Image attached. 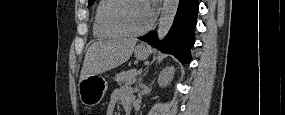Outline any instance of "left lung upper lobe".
Instances as JSON below:
<instances>
[{
  "label": "left lung upper lobe",
  "instance_id": "obj_1",
  "mask_svg": "<svg viewBox=\"0 0 285 115\" xmlns=\"http://www.w3.org/2000/svg\"><path fill=\"white\" fill-rule=\"evenodd\" d=\"M93 1H94V0H89V1H88V4H91V3H93Z\"/></svg>",
  "mask_w": 285,
  "mask_h": 115
}]
</instances>
